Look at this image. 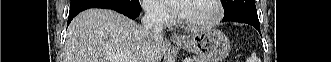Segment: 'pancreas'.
<instances>
[{"label":"pancreas","mask_w":331,"mask_h":62,"mask_svg":"<svg viewBox=\"0 0 331 62\" xmlns=\"http://www.w3.org/2000/svg\"><path fill=\"white\" fill-rule=\"evenodd\" d=\"M192 62H204V61L201 60V58H199V57H193Z\"/></svg>","instance_id":"pancreas-1"}]
</instances>
